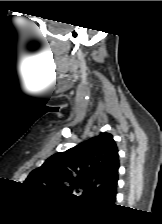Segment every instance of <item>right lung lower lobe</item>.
Instances as JSON below:
<instances>
[{"instance_id": "1", "label": "right lung lower lobe", "mask_w": 162, "mask_h": 224, "mask_svg": "<svg viewBox=\"0 0 162 224\" xmlns=\"http://www.w3.org/2000/svg\"><path fill=\"white\" fill-rule=\"evenodd\" d=\"M115 199H116V195L112 198V200H111V201H112V202H114V201H115Z\"/></svg>"}]
</instances>
